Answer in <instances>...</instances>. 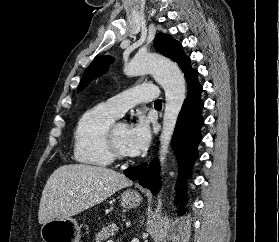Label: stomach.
<instances>
[{
    "mask_svg": "<svg viewBox=\"0 0 279 242\" xmlns=\"http://www.w3.org/2000/svg\"><path fill=\"white\" fill-rule=\"evenodd\" d=\"M141 201V195L134 190H126L121 195L125 208H136ZM40 234L43 242H79L80 227L72 218L54 219L42 225Z\"/></svg>",
    "mask_w": 279,
    "mask_h": 242,
    "instance_id": "1",
    "label": "stomach"
}]
</instances>
